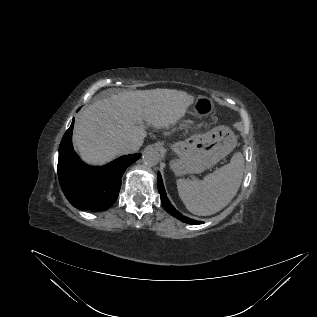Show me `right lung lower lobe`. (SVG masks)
Wrapping results in <instances>:
<instances>
[{
    "mask_svg": "<svg viewBox=\"0 0 317 317\" xmlns=\"http://www.w3.org/2000/svg\"><path fill=\"white\" fill-rule=\"evenodd\" d=\"M74 120L59 147L58 177L68 201L76 208L102 211L111 207L118 198L121 178L126 168L141 154L120 157L102 167L85 165L72 146Z\"/></svg>",
    "mask_w": 317,
    "mask_h": 317,
    "instance_id": "98d812e1",
    "label": "right lung lower lobe"
}]
</instances>
